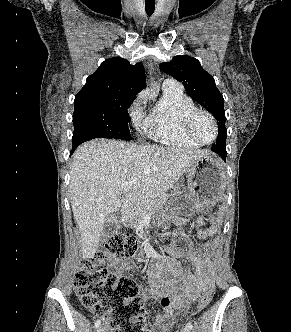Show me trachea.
Segmentation results:
<instances>
[{
	"instance_id": "1",
	"label": "trachea",
	"mask_w": 291,
	"mask_h": 332,
	"mask_svg": "<svg viewBox=\"0 0 291 332\" xmlns=\"http://www.w3.org/2000/svg\"><path fill=\"white\" fill-rule=\"evenodd\" d=\"M145 9H146L147 15L151 16L154 13V10H155V2H152V3H146L145 2Z\"/></svg>"
}]
</instances>
